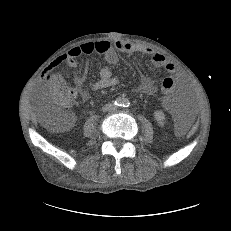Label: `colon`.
<instances>
[{
    "mask_svg": "<svg viewBox=\"0 0 231 231\" xmlns=\"http://www.w3.org/2000/svg\"><path fill=\"white\" fill-rule=\"evenodd\" d=\"M160 89L165 93L172 92L176 87L175 80L170 76L163 77L159 82ZM74 90L64 85H57L48 92V104L41 113L45 126L52 131H62L72 123L68 107L74 100Z\"/></svg>",
    "mask_w": 231,
    "mask_h": 231,
    "instance_id": "obj_1",
    "label": "colon"
}]
</instances>
